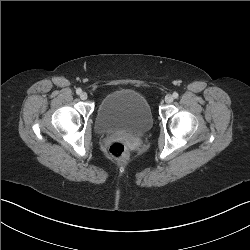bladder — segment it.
Segmentation results:
<instances>
[{"mask_svg": "<svg viewBox=\"0 0 250 250\" xmlns=\"http://www.w3.org/2000/svg\"><path fill=\"white\" fill-rule=\"evenodd\" d=\"M153 115L147 99L131 89L108 93L99 103L95 129L100 134L140 135L153 126Z\"/></svg>", "mask_w": 250, "mask_h": 250, "instance_id": "obj_1", "label": "bladder"}]
</instances>
